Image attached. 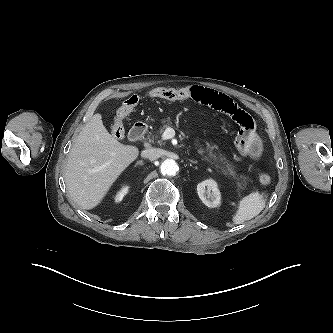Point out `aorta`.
Segmentation results:
<instances>
[{
	"label": "aorta",
	"instance_id": "obj_1",
	"mask_svg": "<svg viewBox=\"0 0 333 333\" xmlns=\"http://www.w3.org/2000/svg\"><path fill=\"white\" fill-rule=\"evenodd\" d=\"M160 171L163 175L174 176L178 171V165L173 159H166L161 163Z\"/></svg>",
	"mask_w": 333,
	"mask_h": 333
}]
</instances>
